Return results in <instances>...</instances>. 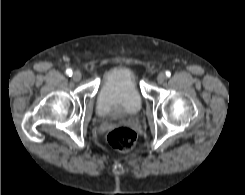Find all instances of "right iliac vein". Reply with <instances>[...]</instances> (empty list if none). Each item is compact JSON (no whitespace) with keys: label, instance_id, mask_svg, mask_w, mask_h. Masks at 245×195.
Segmentation results:
<instances>
[{"label":"right iliac vein","instance_id":"right-iliac-vein-1","mask_svg":"<svg viewBox=\"0 0 245 195\" xmlns=\"http://www.w3.org/2000/svg\"><path fill=\"white\" fill-rule=\"evenodd\" d=\"M74 81H79L82 78V74L79 71H75L72 76Z\"/></svg>","mask_w":245,"mask_h":195}]
</instances>
